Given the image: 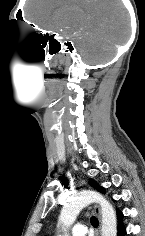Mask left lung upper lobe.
Segmentation results:
<instances>
[{"label":"left lung upper lobe","instance_id":"obj_1","mask_svg":"<svg viewBox=\"0 0 145 236\" xmlns=\"http://www.w3.org/2000/svg\"><path fill=\"white\" fill-rule=\"evenodd\" d=\"M89 182H90V185H91L93 188L97 189L98 191H100V192H102V193H105L104 188L101 187V186H99L96 181H94L93 179H90Z\"/></svg>","mask_w":145,"mask_h":236}]
</instances>
